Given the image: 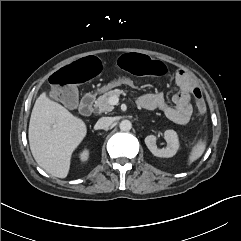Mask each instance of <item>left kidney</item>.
<instances>
[{
  "mask_svg": "<svg viewBox=\"0 0 241 241\" xmlns=\"http://www.w3.org/2000/svg\"><path fill=\"white\" fill-rule=\"evenodd\" d=\"M164 138L167 142V146L162 149L157 148V138L155 135L147 136L145 138V144L154 156L163 158L173 157L179 148V140L177 133L174 130H166L164 132Z\"/></svg>",
  "mask_w": 241,
  "mask_h": 241,
  "instance_id": "1",
  "label": "left kidney"
}]
</instances>
